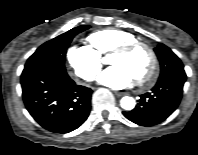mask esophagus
Here are the masks:
<instances>
[{
	"instance_id": "34e87169",
	"label": "esophagus",
	"mask_w": 198,
	"mask_h": 155,
	"mask_svg": "<svg viewBox=\"0 0 198 155\" xmlns=\"http://www.w3.org/2000/svg\"><path fill=\"white\" fill-rule=\"evenodd\" d=\"M115 95L118 97H122L125 95V93L124 92H115Z\"/></svg>"
}]
</instances>
